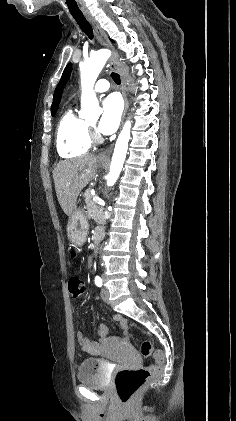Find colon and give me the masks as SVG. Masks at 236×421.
I'll return each mask as SVG.
<instances>
[{
  "label": "colon",
  "instance_id": "5ec220e1",
  "mask_svg": "<svg viewBox=\"0 0 236 421\" xmlns=\"http://www.w3.org/2000/svg\"><path fill=\"white\" fill-rule=\"evenodd\" d=\"M68 289L72 297L79 298L84 292L83 281L77 276H71L68 281ZM141 353L144 356L153 354L155 364L140 368L120 369L114 378V384L120 400L127 403L134 393L151 377L162 372L165 358L161 351H153L151 342H144L141 345Z\"/></svg>",
  "mask_w": 236,
  "mask_h": 421
}]
</instances>
